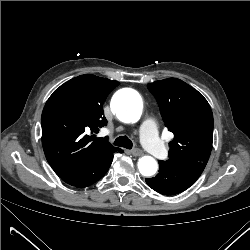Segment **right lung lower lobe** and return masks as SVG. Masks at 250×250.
<instances>
[{
    "mask_svg": "<svg viewBox=\"0 0 250 250\" xmlns=\"http://www.w3.org/2000/svg\"><path fill=\"white\" fill-rule=\"evenodd\" d=\"M115 152L121 149H111L99 154L91 162L77 169L58 171L56 174L66 183L77 187H87L101 179L108 171Z\"/></svg>",
    "mask_w": 250,
    "mask_h": 250,
    "instance_id": "98d812e1",
    "label": "right lung lower lobe"
}]
</instances>
